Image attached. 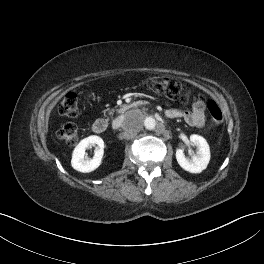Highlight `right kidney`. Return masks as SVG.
<instances>
[{
    "label": "right kidney",
    "mask_w": 264,
    "mask_h": 264,
    "mask_svg": "<svg viewBox=\"0 0 264 264\" xmlns=\"http://www.w3.org/2000/svg\"><path fill=\"white\" fill-rule=\"evenodd\" d=\"M97 146L92 159L85 158V150L91 146ZM104 154V141L101 137L92 135L81 140L73 150L71 165L82 173H89L97 169Z\"/></svg>",
    "instance_id": "ca27d5eb"
}]
</instances>
